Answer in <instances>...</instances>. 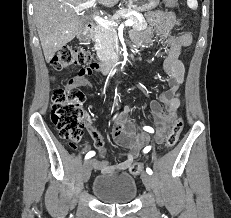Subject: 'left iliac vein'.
<instances>
[{"mask_svg":"<svg viewBox=\"0 0 231 218\" xmlns=\"http://www.w3.org/2000/svg\"><path fill=\"white\" fill-rule=\"evenodd\" d=\"M141 177H142V181H143L145 187L148 190H151L152 187H153V179H152V177L146 172H143Z\"/></svg>","mask_w":231,"mask_h":218,"instance_id":"left-iliac-vein-1","label":"left iliac vein"}]
</instances>
